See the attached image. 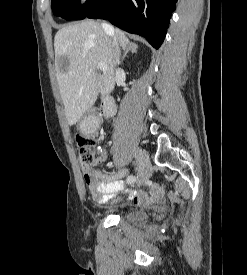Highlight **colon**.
Wrapping results in <instances>:
<instances>
[{
  "mask_svg": "<svg viewBox=\"0 0 247 275\" xmlns=\"http://www.w3.org/2000/svg\"><path fill=\"white\" fill-rule=\"evenodd\" d=\"M77 141L80 146L79 160L81 164V169L84 173H86L94 161V153L92 147L95 144V140L92 137L79 136L77 138Z\"/></svg>",
  "mask_w": 247,
  "mask_h": 275,
  "instance_id": "colon-1",
  "label": "colon"
}]
</instances>
